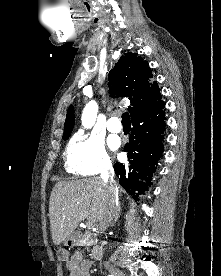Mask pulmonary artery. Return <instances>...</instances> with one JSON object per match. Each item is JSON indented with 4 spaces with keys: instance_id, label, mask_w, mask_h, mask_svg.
I'll return each instance as SVG.
<instances>
[{
    "instance_id": "1",
    "label": "pulmonary artery",
    "mask_w": 221,
    "mask_h": 276,
    "mask_svg": "<svg viewBox=\"0 0 221 276\" xmlns=\"http://www.w3.org/2000/svg\"><path fill=\"white\" fill-rule=\"evenodd\" d=\"M107 128L111 132L119 133L122 129V126L117 117H111L107 122Z\"/></svg>"
}]
</instances>
